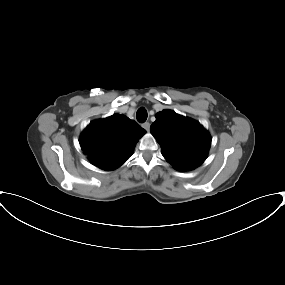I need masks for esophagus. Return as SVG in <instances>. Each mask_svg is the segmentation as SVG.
I'll list each match as a JSON object with an SVG mask.
<instances>
[{"instance_id": "esophagus-1", "label": "esophagus", "mask_w": 285, "mask_h": 285, "mask_svg": "<svg viewBox=\"0 0 285 285\" xmlns=\"http://www.w3.org/2000/svg\"><path fill=\"white\" fill-rule=\"evenodd\" d=\"M142 126H143V128H144L145 130L149 131V129H150V123H149V122L143 123Z\"/></svg>"}]
</instances>
